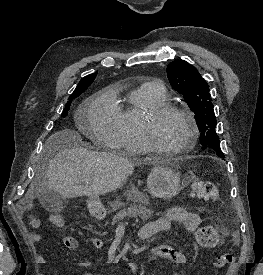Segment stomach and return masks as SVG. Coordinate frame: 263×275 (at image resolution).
I'll return each mask as SVG.
<instances>
[{
	"instance_id": "stomach-1",
	"label": "stomach",
	"mask_w": 263,
	"mask_h": 275,
	"mask_svg": "<svg viewBox=\"0 0 263 275\" xmlns=\"http://www.w3.org/2000/svg\"><path fill=\"white\" fill-rule=\"evenodd\" d=\"M147 187L153 197L172 198L182 189L180 174L168 166H156L147 178ZM118 207L120 205L116 206ZM88 209L96 217L105 215V209L98 200L89 201Z\"/></svg>"
}]
</instances>
